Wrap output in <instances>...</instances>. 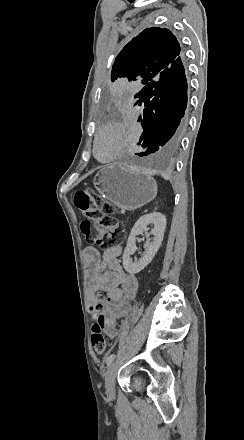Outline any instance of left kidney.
Wrapping results in <instances>:
<instances>
[{
  "label": "left kidney",
  "instance_id": "1",
  "mask_svg": "<svg viewBox=\"0 0 244 440\" xmlns=\"http://www.w3.org/2000/svg\"><path fill=\"white\" fill-rule=\"evenodd\" d=\"M149 224H154V228L150 232V234H153L154 236L152 242H150V234L148 232L149 228H147ZM165 228L166 218L163 216V214H160V212L146 214V216H141V218L137 220L130 232V236L127 240V246L123 254V266L128 274H138V272L144 270L145 266L150 264L156 252H158L161 242H163ZM142 232H145V236L147 238V242L144 244L145 252L142 258H139V260H134L133 262L131 258L133 246H135L137 234H142Z\"/></svg>",
  "mask_w": 244,
  "mask_h": 440
}]
</instances>
